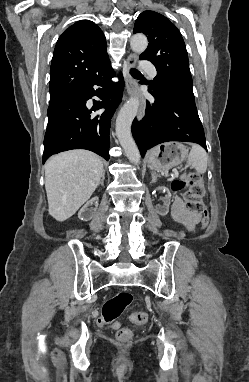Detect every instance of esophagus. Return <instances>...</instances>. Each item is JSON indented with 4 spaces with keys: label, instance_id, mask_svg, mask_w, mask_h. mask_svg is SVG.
Listing matches in <instances>:
<instances>
[{
    "label": "esophagus",
    "instance_id": "esophagus-1",
    "mask_svg": "<svg viewBox=\"0 0 249 382\" xmlns=\"http://www.w3.org/2000/svg\"><path fill=\"white\" fill-rule=\"evenodd\" d=\"M137 59L138 57L136 54H130L124 66V73L126 77V92L129 96L137 94V91H138L137 83L130 75V69L136 65ZM144 112H145V103H144V100L142 99L140 101V107H139V111L137 115L138 120H141L143 118Z\"/></svg>",
    "mask_w": 249,
    "mask_h": 382
}]
</instances>
